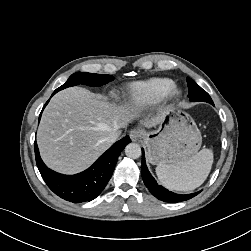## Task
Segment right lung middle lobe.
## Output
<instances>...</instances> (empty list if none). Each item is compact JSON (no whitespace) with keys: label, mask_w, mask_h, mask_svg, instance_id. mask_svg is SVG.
<instances>
[{"label":"right lung middle lobe","mask_w":251,"mask_h":251,"mask_svg":"<svg viewBox=\"0 0 251 251\" xmlns=\"http://www.w3.org/2000/svg\"><path fill=\"white\" fill-rule=\"evenodd\" d=\"M113 79L114 77L111 75L77 72L72 74L66 81V83L60 86L56 90L60 91L67 87L75 86L78 84H85L92 87H98L112 81Z\"/></svg>","instance_id":"obj_1"}]
</instances>
